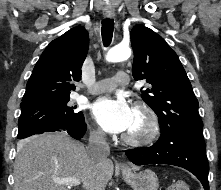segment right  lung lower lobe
Instances as JSON below:
<instances>
[{
  "label": "right lung lower lobe",
  "instance_id": "obj_1",
  "mask_svg": "<svg viewBox=\"0 0 221 190\" xmlns=\"http://www.w3.org/2000/svg\"><path fill=\"white\" fill-rule=\"evenodd\" d=\"M86 129H87L86 123L83 122L77 127L66 128V129H51V130H47L44 132L64 131V132L68 133L71 137L79 140L85 134ZM44 132H41V133H44Z\"/></svg>",
  "mask_w": 221,
  "mask_h": 190
}]
</instances>
